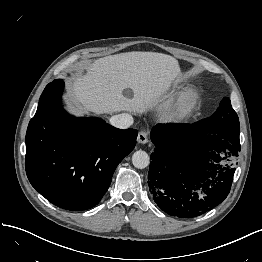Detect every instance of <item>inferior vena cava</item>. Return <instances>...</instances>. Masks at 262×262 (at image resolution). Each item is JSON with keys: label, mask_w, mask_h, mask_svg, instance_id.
Returning a JSON list of instances; mask_svg holds the SVG:
<instances>
[{"label": "inferior vena cava", "mask_w": 262, "mask_h": 262, "mask_svg": "<svg viewBox=\"0 0 262 262\" xmlns=\"http://www.w3.org/2000/svg\"><path fill=\"white\" fill-rule=\"evenodd\" d=\"M133 122V117L128 113L114 115L110 118V124L119 129H127Z\"/></svg>", "instance_id": "obj_1"}]
</instances>
